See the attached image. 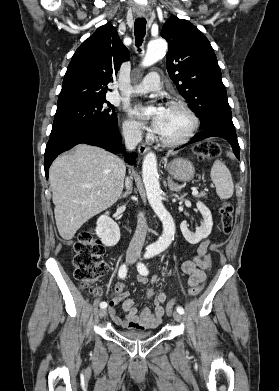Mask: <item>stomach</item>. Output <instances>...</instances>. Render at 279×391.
I'll return each mask as SVG.
<instances>
[{
	"label": "stomach",
	"mask_w": 279,
	"mask_h": 391,
	"mask_svg": "<svg viewBox=\"0 0 279 391\" xmlns=\"http://www.w3.org/2000/svg\"><path fill=\"white\" fill-rule=\"evenodd\" d=\"M170 176L179 181H189L194 177L195 168L193 164L184 158H176L167 165Z\"/></svg>",
	"instance_id": "stomach-1"
}]
</instances>
